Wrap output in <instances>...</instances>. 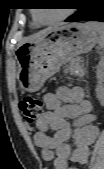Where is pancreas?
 <instances>
[{
  "label": "pancreas",
  "mask_w": 104,
  "mask_h": 169,
  "mask_svg": "<svg viewBox=\"0 0 104 169\" xmlns=\"http://www.w3.org/2000/svg\"><path fill=\"white\" fill-rule=\"evenodd\" d=\"M69 68H70L71 72L76 76L82 77L85 74V70H84L83 66L80 64L79 60L72 61L70 63Z\"/></svg>",
  "instance_id": "obj_1"
}]
</instances>
